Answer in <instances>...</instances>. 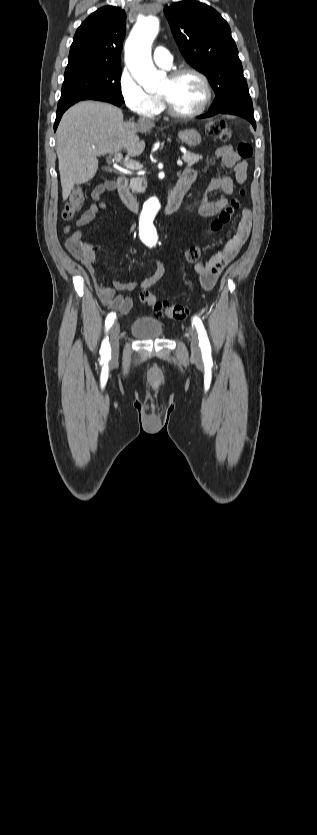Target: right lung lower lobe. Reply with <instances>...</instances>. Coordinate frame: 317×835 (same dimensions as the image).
<instances>
[{"mask_svg":"<svg viewBox=\"0 0 317 835\" xmlns=\"http://www.w3.org/2000/svg\"><path fill=\"white\" fill-rule=\"evenodd\" d=\"M93 100H99V101L109 102V103H112V104L117 105V106H120V105H122V104H123V102H121L120 100H117V99H115V98L108 97V96H105V97H97V98H95V99H93ZM70 106H71V105H68V106L60 107V108H58V109H57V112H56V120H55V123H54V131L57 129V126H58V124H59V121H60V119H61L62 114H63V113L65 112V110H66V109H68Z\"/></svg>","mask_w":317,"mask_h":835,"instance_id":"obj_1","label":"right lung lower lobe"}]
</instances>
